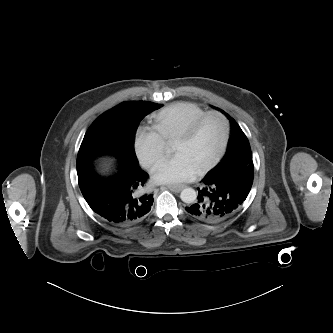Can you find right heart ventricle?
<instances>
[{"label": "right heart ventricle", "instance_id": "obj_1", "mask_svg": "<svg viewBox=\"0 0 333 333\" xmlns=\"http://www.w3.org/2000/svg\"><path fill=\"white\" fill-rule=\"evenodd\" d=\"M206 111L194 103H174L153 116V129L164 141H172Z\"/></svg>", "mask_w": 333, "mask_h": 333}]
</instances>
